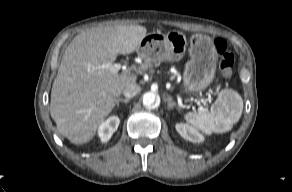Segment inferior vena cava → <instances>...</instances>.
<instances>
[{
	"label": "inferior vena cava",
	"mask_w": 292,
	"mask_h": 192,
	"mask_svg": "<svg viewBox=\"0 0 292 192\" xmlns=\"http://www.w3.org/2000/svg\"><path fill=\"white\" fill-rule=\"evenodd\" d=\"M140 91V86L136 83L126 84L123 90V94L126 98H132Z\"/></svg>",
	"instance_id": "602c4592"
}]
</instances>
